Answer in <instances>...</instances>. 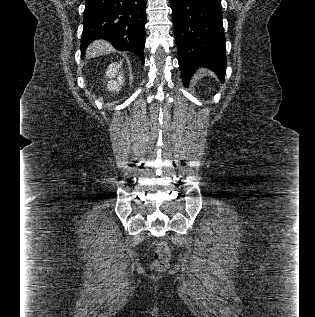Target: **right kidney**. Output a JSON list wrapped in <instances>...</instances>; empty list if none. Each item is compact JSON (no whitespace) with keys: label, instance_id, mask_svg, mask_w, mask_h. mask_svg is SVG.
<instances>
[{"label":"right kidney","instance_id":"right-kidney-1","mask_svg":"<svg viewBox=\"0 0 315 317\" xmlns=\"http://www.w3.org/2000/svg\"><path fill=\"white\" fill-rule=\"evenodd\" d=\"M122 63V61L112 63L106 71V77L110 79L107 83V89L109 91L118 92L124 83V76L121 72H119V69L122 67ZM114 78H117V80H114Z\"/></svg>","mask_w":315,"mask_h":317}]
</instances>
